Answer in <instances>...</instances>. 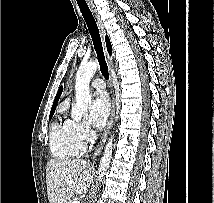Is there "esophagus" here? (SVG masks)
I'll return each instance as SVG.
<instances>
[{
	"mask_svg": "<svg viewBox=\"0 0 214 203\" xmlns=\"http://www.w3.org/2000/svg\"><path fill=\"white\" fill-rule=\"evenodd\" d=\"M92 8V11L95 15V18L97 20V23H98V27H99V30H100V35H101V38H102V42H103V45H104V49H105V56H106V60H107V64H108V67H109V70L111 71L112 69V58L109 56L107 50H106V44H105V35H106V30H105V26H104V22L102 21L98 11L94 8V6L91 7ZM111 78V87H112V106H111V114H110V117H109V120H108V123H107V126L102 134V137H101V140L94 152V155H93V158L96 159L97 156L101 153L102 149H103V146L106 142V139H107V136L110 132V129H111V126L113 124V120H114V115H115V109H116V98H115V93H114V89H113V83H112V75L110 76Z\"/></svg>",
	"mask_w": 214,
	"mask_h": 203,
	"instance_id": "1",
	"label": "esophagus"
}]
</instances>
